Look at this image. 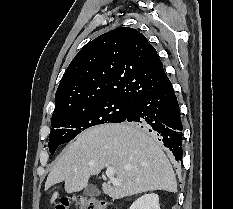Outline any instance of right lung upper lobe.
Returning <instances> with one entry per match:
<instances>
[{
  "label": "right lung upper lobe",
  "mask_w": 233,
  "mask_h": 209,
  "mask_svg": "<svg viewBox=\"0 0 233 209\" xmlns=\"http://www.w3.org/2000/svg\"><path fill=\"white\" fill-rule=\"evenodd\" d=\"M168 81L146 37L133 28H116L87 43L69 64L56 91L53 115L107 98L134 103Z\"/></svg>",
  "instance_id": "cb5924a9"
}]
</instances>
